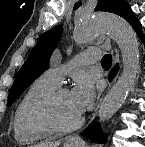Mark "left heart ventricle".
<instances>
[{
    "label": "left heart ventricle",
    "mask_w": 145,
    "mask_h": 147,
    "mask_svg": "<svg viewBox=\"0 0 145 147\" xmlns=\"http://www.w3.org/2000/svg\"><path fill=\"white\" fill-rule=\"evenodd\" d=\"M55 109L57 117L65 124L73 123L80 116L73 106L70 92L63 93L58 98Z\"/></svg>",
    "instance_id": "obj_1"
}]
</instances>
